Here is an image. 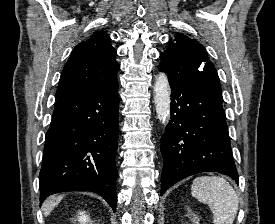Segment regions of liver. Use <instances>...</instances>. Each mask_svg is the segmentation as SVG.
Masks as SVG:
<instances>
[{
    "mask_svg": "<svg viewBox=\"0 0 275 224\" xmlns=\"http://www.w3.org/2000/svg\"><path fill=\"white\" fill-rule=\"evenodd\" d=\"M62 199L63 196L51 197L47 199L43 204L44 215L48 216L54 209V207H56Z\"/></svg>",
    "mask_w": 275,
    "mask_h": 224,
    "instance_id": "obj_1",
    "label": "liver"
}]
</instances>
